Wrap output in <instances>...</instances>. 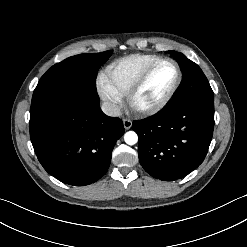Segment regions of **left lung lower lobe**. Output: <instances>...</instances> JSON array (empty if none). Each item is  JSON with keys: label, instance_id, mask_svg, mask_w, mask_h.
Segmentation results:
<instances>
[{"label": "left lung lower lobe", "instance_id": "1", "mask_svg": "<svg viewBox=\"0 0 247 247\" xmlns=\"http://www.w3.org/2000/svg\"><path fill=\"white\" fill-rule=\"evenodd\" d=\"M214 129V100L166 109L133 122L139 161L154 178L185 177L204 160Z\"/></svg>", "mask_w": 247, "mask_h": 247}]
</instances>
